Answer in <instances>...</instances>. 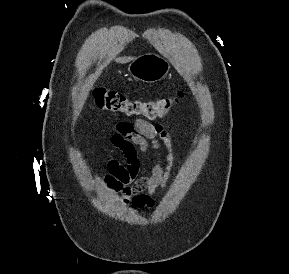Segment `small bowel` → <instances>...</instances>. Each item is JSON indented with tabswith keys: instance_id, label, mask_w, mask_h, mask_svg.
<instances>
[{
	"instance_id": "small-bowel-1",
	"label": "small bowel",
	"mask_w": 289,
	"mask_h": 274,
	"mask_svg": "<svg viewBox=\"0 0 289 274\" xmlns=\"http://www.w3.org/2000/svg\"><path fill=\"white\" fill-rule=\"evenodd\" d=\"M110 142L123 154L125 163L110 157L102 182L122 195L125 207L133 211L152 208L158 189L166 187L175 160L169 132L161 124L136 119L134 123L119 122ZM150 150L156 151L155 163L150 174L140 176L139 155H147Z\"/></svg>"
}]
</instances>
